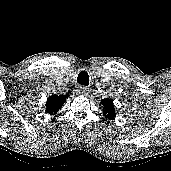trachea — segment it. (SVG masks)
Masks as SVG:
<instances>
[{
    "mask_svg": "<svg viewBox=\"0 0 171 171\" xmlns=\"http://www.w3.org/2000/svg\"><path fill=\"white\" fill-rule=\"evenodd\" d=\"M77 82H78L80 85L88 86V85H89V75H88V73H87L86 71H81V72L78 74Z\"/></svg>",
    "mask_w": 171,
    "mask_h": 171,
    "instance_id": "obj_1",
    "label": "trachea"
}]
</instances>
